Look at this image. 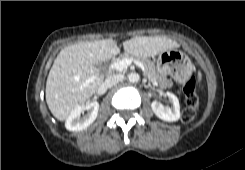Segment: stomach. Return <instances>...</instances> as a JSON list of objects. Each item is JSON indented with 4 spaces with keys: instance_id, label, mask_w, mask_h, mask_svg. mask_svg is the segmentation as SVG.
<instances>
[{
    "instance_id": "0dacf381",
    "label": "stomach",
    "mask_w": 245,
    "mask_h": 170,
    "mask_svg": "<svg viewBox=\"0 0 245 170\" xmlns=\"http://www.w3.org/2000/svg\"><path fill=\"white\" fill-rule=\"evenodd\" d=\"M157 70L165 75L181 73L191 68L190 59L180 50L169 49L158 55Z\"/></svg>"
}]
</instances>
